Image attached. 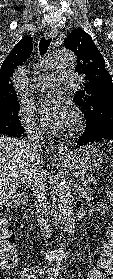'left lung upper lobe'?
I'll return each mask as SVG.
<instances>
[{
  "label": "left lung upper lobe",
  "mask_w": 113,
  "mask_h": 279,
  "mask_svg": "<svg viewBox=\"0 0 113 279\" xmlns=\"http://www.w3.org/2000/svg\"><path fill=\"white\" fill-rule=\"evenodd\" d=\"M64 45L77 56L76 72L84 75V83L75 94V102L84 113L86 125L94 128L102 117L113 118L112 77L105 69L102 54L84 30H73Z\"/></svg>",
  "instance_id": "left-lung-upper-lobe-1"
}]
</instances>
